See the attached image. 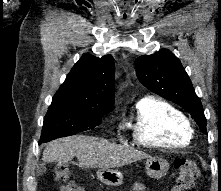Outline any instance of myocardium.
<instances>
[{
	"mask_svg": "<svg viewBox=\"0 0 221 191\" xmlns=\"http://www.w3.org/2000/svg\"><path fill=\"white\" fill-rule=\"evenodd\" d=\"M188 132H189L190 135H191L192 132H193L192 128H191L189 125H188Z\"/></svg>",
	"mask_w": 221,
	"mask_h": 191,
	"instance_id": "myocardium-1",
	"label": "myocardium"
}]
</instances>
